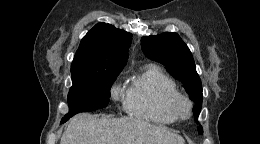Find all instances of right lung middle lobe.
Instances as JSON below:
<instances>
[{
  "mask_svg": "<svg viewBox=\"0 0 260 144\" xmlns=\"http://www.w3.org/2000/svg\"><path fill=\"white\" fill-rule=\"evenodd\" d=\"M121 70L72 75L73 86L68 94L69 113L61 123L80 112L94 111L109 103L110 88Z\"/></svg>",
  "mask_w": 260,
  "mask_h": 144,
  "instance_id": "right-lung-middle-lobe-1",
  "label": "right lung middle lobe"
}]
</instances>
